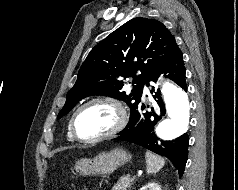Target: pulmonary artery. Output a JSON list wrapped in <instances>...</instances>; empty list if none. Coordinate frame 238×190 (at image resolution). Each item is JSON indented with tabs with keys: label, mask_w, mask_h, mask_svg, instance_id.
<instances>
[{
	"label": "pulmonary artery",
	"mask_w": 238,
	"mask_h": 190,
	"mask_svg": "<svg viewBox=\"0 0 238 190\" xmlns=\"http://www.w3.org/2000/svg\"><path fill=\"white\" fill-rule=\"evenodd\" d=\"M149 94H150L149 89L146 86H144L143 87V95H149Z\"/></svg>",
	"instance_id": "1"
}]
</instances>
